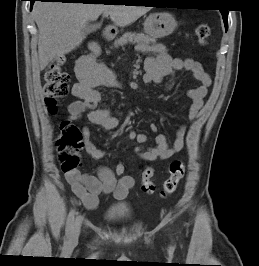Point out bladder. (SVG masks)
<instances>
[{
    "mask_svg": "<svg viewBox=\"0 0 259 266\" xmlns=\"http://www.w3.org/2000/svg\"><path fill=\"white\" fill-rule=\"evenodd\" d=\"M131 214V207L127 203L111 205L104 213V218L110 223H116L126 219Z\"/></svg>",
    "mask_w": 259,
    "mask_h": 266,
    "instance_id": "1",
    "label": "bladder"
}]
</instances>
